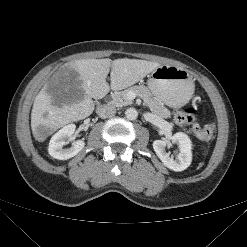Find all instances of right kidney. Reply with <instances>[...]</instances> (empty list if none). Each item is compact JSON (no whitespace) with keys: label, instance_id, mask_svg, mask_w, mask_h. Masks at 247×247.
<instances>
[{"label":"right kidney","instance_id":"1","mask_svg":"<svg viewBox=\"0 0 247 247\" xmlns=\"http://www.w3.org/2000/svg\"><path fill=\"white\" fill-rule=\"evenodd\" d=\"M75 128L74 124H69L53 135L48 148V152L53 158L67 160L77 155L84 148L85 142L83 140H76L70 148H63L72 138Z\"/></svg>","mask_w":247,"mask_h":247}]
</instances>
